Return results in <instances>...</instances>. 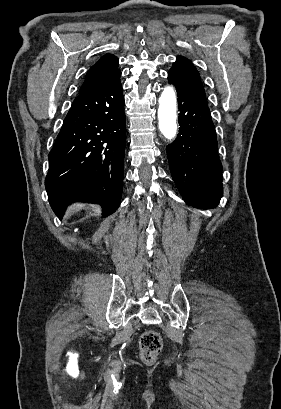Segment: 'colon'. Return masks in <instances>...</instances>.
<instances>
[{"mask_svg":"<svg viewBox=\"0 0 281 409\" xmlns=\"http://www.w3.org/2000/svg\"><path fill=\"white\" fill-rule=\"evenodd\" d=\"M162 348L160 335L152 330H146L141 336V358L146 362H152L156 359Z\"/></svg>","mask_w":281,"mask_h":409,"instance_id":"1","label":"colon"}]
</instances>
